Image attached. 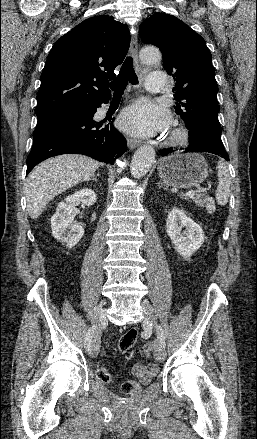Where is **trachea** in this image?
Segmentation results:
<instances>
[{
    "label": "trachea",
    "mask_w": 257,
    "mask_h": 439,
    "mask_svg": "<svg viewBox=\"0 0 257 439\" xmlns=\"http://www.w3.org/2000/svg\"><path fill=\"white\" fill-rule=\"evenodd\" d=\"M128 82L132 85L138 84V78L133 68L132 57L125 59L117 78L110 83V88L114 92V95H122Z\"/></svg>",
    "instance_id": "trachea-1"
}]
</instances>
